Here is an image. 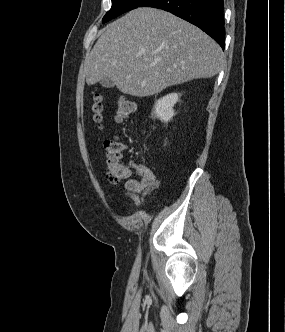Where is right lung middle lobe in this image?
<instances>
[{"mask_svg": "<svg viewBox=\"0 0 285 332\" xmlns=\"http://www.w3.org/2000/svg\"><path fill=\"white\" fill-rule=\"evenodd\" d=\"M146 0H112V7L103 17L102 22L105 23L120 14L139 7Z\"/></svg>", "mask_w": 285, "mask_h": 332, "instance_id": "right-lung-middle-lobe-1", "label": "right lung middle lobe"}]
</instances>
